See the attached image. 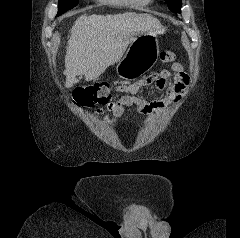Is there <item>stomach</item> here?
Wrapping results in <instances>:
<instances>
[{"label":"stomach","mask_w":240,"mask_h":238,"mask_svg":"<svg viewBox=\"0 0 240 238\" xmlns=\"http://www.w3.org/2000/svg\"><path fill=\"white\" fill-rule=\"evenodd\" d=\"M159 53L158 35L143 33L135 37L118 61L117 73L123 79H137L155 65Z\"/></svg>","instance_id":"obj_1"}]
</instances>
